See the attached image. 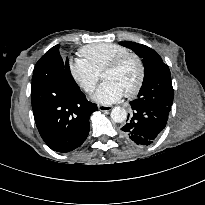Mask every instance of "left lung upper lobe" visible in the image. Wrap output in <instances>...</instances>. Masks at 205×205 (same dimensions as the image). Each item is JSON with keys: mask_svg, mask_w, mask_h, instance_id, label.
<instances>
[{"mask_svg": "<svg viewBox=\"0 0 205 205\" xmlns=\"http://www.w3.org/2000/svg\"><path fill=\"white\" fill-rule=\"evenodd\" d=\"M119 44L132 49L143 58L145 76L136 100L146 104L171 106L174 90L170 70L161 57L153 49L142 44L135 42H119Z\"/></svg>", "mask_w": 205, "mask_h": 205, "instance_id": "5c2ea615", "label": "left lung upper lobe"}]
</instances>
